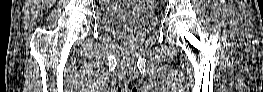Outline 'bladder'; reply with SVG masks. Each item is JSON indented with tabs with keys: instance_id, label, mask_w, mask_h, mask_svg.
<instances>
[{
	"instance_id": "1",
	"label": "bladder",
	"mask_w": 263,
	"mask_h": 92,
	"mask_svg": "<svg viewBox=\"0 0 263 92\" xmlns=\"http://www.w3.org/2000/svg\"><path fill=\"white\" fill-rule=\"evenodd\" d=\"M105 28L126 39L140 37L155 26V17L149 8H115L102 14Z\"/></svg>"
}]
</instances>
